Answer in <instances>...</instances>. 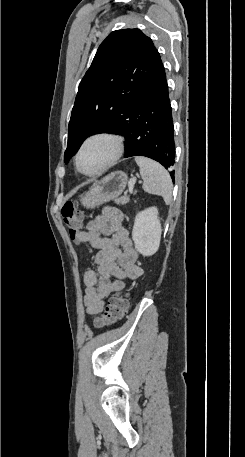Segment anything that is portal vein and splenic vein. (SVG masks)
<instances>
[{"label": "portal vein and splenic vein", "mask_w": 245, "mask_h": 457, "mask_svg": "<svg viewBox=\"0 0 245 457\" xmlns=\"http://www.w3.org/2000/svg\"><path fill=\"white\" fill-rule=\"evenodd\" d=\"M135 180H136V176H132V178H130V182H128V184H127L129 192L133 191V187L135 186Z\"/></svg>", "instance_id": "portal-vein-and-splenic-vein-1"}]
</instances>
